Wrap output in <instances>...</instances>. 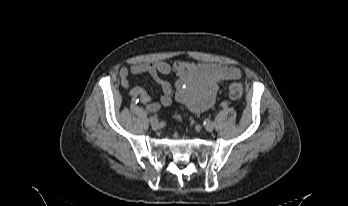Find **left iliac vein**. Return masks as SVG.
<instances>
[{"mask_svg": "<svg viewBox=\"0 0 348 206\" xmlns=\"http://www.w3.org/2000/svg\"><path fill=\"white\" fill-rule=\"evenodd\" d=\"M214 127H215V125L211 121L207 122V124L205 125V129L208 132H212L214 130Z\"/></svg>", "mask_w": 348, "mask_h": 206, "instance_id": "left-iliac-vein-1", "label": "left iliac vein"}]
</instances>
